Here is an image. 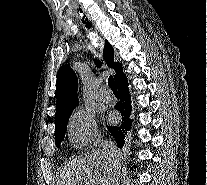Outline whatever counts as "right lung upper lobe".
I'll use <instances>...</instances> for the list:
<instances>
[{
	"label": "right lung upper lobe",
	"instance_id": "obj_1",
	"mask_svg": "<svg viewBox=\"0 0 207 185\" xmlns=\"http://www.w3.org/2000/svg\"><path fill=\"white\" fill-rule=\"evenodd\" d=\"M104 59L106 64L116 70L114 76L115 81L124 77L121 64L114 62V50L112 46L106 41L104 47ZM96 65H100L99 61H96ZM77 77L74 71L69 65L62 66L57 73L56 81V125L55 129L67 125L69 117L77 105Z\"/></svg>",
	"mask_w": 207,
	"mask_h": 185
}]
</instances>
